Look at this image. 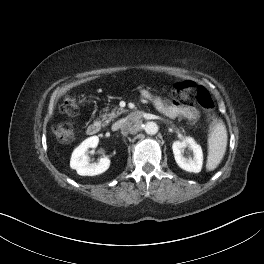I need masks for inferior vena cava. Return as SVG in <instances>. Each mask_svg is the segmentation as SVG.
Listing matches in <instances>:
<instances>
[{
  "label": "inferior vena cava",
  "instance_id": "inferior-vena-cava-1",
  "mask_svg": "<svg viewBox=\"0 0 264 264\" xmlns=\"http://www.w3.org/2000/svg\"><path fill=\"white\" fill-rule=\"evenodd\" d=\"M125 122V120H121L119 122H114L113 126H112V130L113 131H116L118 130L119 128L121 129V126L123 125V123Z\"/></svg>",
  "mask_w": 264,
  "mask_h": 264
}]
</instances>
